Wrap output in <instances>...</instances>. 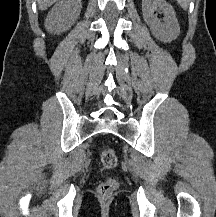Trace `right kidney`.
Here are the masks:
<instances>
[{"label":"right kidney","mask_w":216,"mask_h":217,"mask_svg":"<svg viewBox=\"0 0 216 217\" xmlns=\"http://www.w3.org/2000/svg\"><path fill=\"white\" fill-rule=\"evenodd\" d=\"M81 7V0H59L47 15L46 29L51 33L68 30L79 18Z\"/></svg>","instance_id":"1"}]
</instances>
